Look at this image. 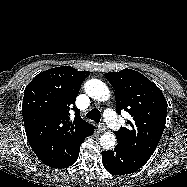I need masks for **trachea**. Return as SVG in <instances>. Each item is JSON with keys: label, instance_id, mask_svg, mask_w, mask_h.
<instances>
[{"label": "trachea", "instance_id": "1", "mask_svg": "<svg viewBox=\"0 0 187 187\" xmlns=\"http://www.w3.org/2000/svg\"><path fill=\"white\" fill-rule=\"evenodd\" d=\"M86 117L90 120H93V121L99 123L100 118H101V113L98 109L94 108L87 113Z\"/></svg>", "mask_w": 187, "mask_h": 187}]
</instances>
